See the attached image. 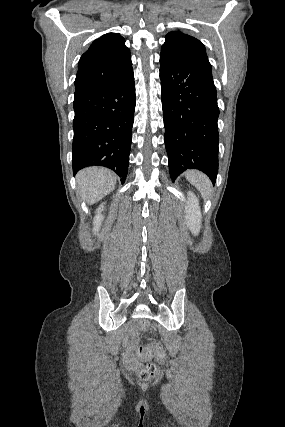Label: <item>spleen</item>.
<instances>
[{
  "label": "spleen",
  "instance_id": "obj_1",
  "mask_svg": "<svg viewBox=\"0 0 285 427\" xmlns=\"http://www.w3.org/2000/svg\"><path fill=\"white\" fill-rule=\"evenodd\" d=\"M185 177L200 191L203 198H209L212 184L205 174L200 171L190 170L185 173Z\"/></svg>",
  "mask_w": 285,
  "mask_h": 427
}]
</instances>
